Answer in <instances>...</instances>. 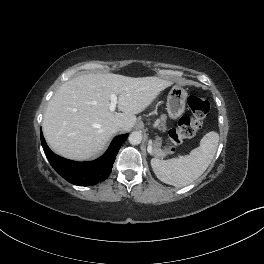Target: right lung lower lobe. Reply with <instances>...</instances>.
Returning <instances> with one entry per match:
<instances>
[{
	"instance_id": "98d812e1",
	"label": "right lung lower lobe",
	"mask_w": 264,
	"mask_h": 264,
	"mask_svg": "<svg viewBox=\"0 0 264 264\" xmlns=\"http://www.w3.org/2000/svg\"><path fill=\"white\" fill-rule=\"evenodd\" d=\"M127 137L128 134L115 137L105 154L91 162H76L54 154L42 132L41 144L47 159L59 175L74 185L90 186L104 181L110 175L116 155Z\"/></svg>"
}]
</instances>
